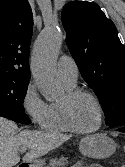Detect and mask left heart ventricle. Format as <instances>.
<instances>
[{
    "label": "left heart ventricle",
    "mask_w": 125,
    "mask_h": 167,
    "mask_svg": "<svg viewBox=\"0 0 125 167\" xmlns=\"http://www.w3.org/2000/svg\"><path fill=\"white\" fill-rule=\"evenodd\" d=\"M73 118L81 129H92L98 125L99 112L94 101L87 97H79L73 105Z\"/></svg>",
    "instance_id": "b2bd125f"
}]
</instances>
